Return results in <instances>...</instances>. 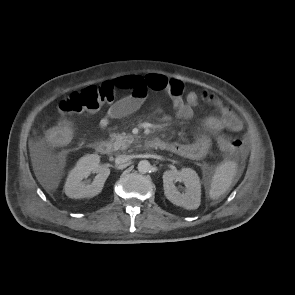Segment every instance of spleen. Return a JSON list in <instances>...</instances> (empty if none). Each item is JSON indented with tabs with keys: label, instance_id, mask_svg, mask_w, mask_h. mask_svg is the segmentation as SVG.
Wrapping results in <instances>:
<instances>
[{
	"label": "spleen",
	"instance_id": "1",
	"mask_svg": "<svg viewBox=\"0 0 295 295\" xmlns=\"http://www.w3.org/2000/svg\"><path fill=\"white\" fill-rule=\"evenodd\" d=\"M237 165L234 161H224L217 166L212 176L209 196L218 199L230 187L236 174Z\"/></svg>",
	"mask_w": 295,
	"mask_h": 295
}]
</instances>
